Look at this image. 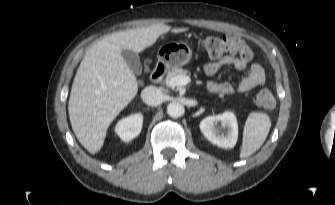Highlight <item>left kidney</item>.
I'll list each match as a JSON object with an SVG mask.
<instances>
[{
	"mask_svg": "<svg viewBox=\"0 0 335 205\" xmlns=\"http://www.w3.org/2000/svg\"><path fill=\"white\" fill-rule=\"evenodd\" d=\"M218 122H221L222 129L216 127ZM200 130L212 144L222 148H233L238 139V123L231 111L204 118Z\"/></svg>",
	"mask_w": 335,
	"mask_h": 205,
	"instance_id": "5707ae66",
	"label": "left kidney"
}]
</instances>
